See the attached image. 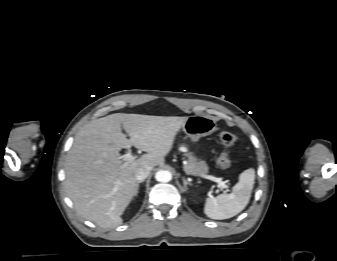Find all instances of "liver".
Masks as SVG:
<instances>
[{"label":"liver","instance_id":"liver-1","mask_svg":"<svg viewBox=\"0 0 337 261\" xmlns=\"http://www.w3.org/2000/svg\"><path fill=\"white\" fill-rule=\"evenodd\" d=\"M187 120L115 113L83 126L65 161V190L77 213L101 228L121 225L137 190L136 170L163 164ZM131 146L147 154L124 166L120 150Z\"/></svg>","mask_w":337,"mask_h":261}]
</instances>
